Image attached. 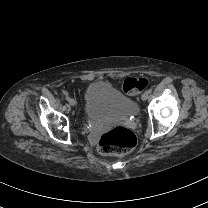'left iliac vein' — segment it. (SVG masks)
I'll return each instance as SVG.
<instances>
[{
  "label": "left iliac vein",
  "instance_id": "obj_1",
  "mask_svg": "<svg viewBox=\"0 0 208 208\" xmlns=\"http://www.w3.org/2000/svg\"><path fill=\"white\" fill-rule=\"evenodd\" d=\"M141 99L143 101L147 100L148 99V93L147 92L143 93L142 96H141Z\"/></svg>",
  "mask_w": 208,
  "mask_h": 208
}]
</instances>
